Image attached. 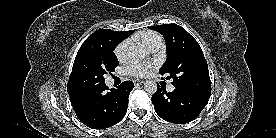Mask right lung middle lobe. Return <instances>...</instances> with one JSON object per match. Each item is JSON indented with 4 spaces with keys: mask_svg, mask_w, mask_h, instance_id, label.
Listing matches in <instances>:
<instances>
[{
    "mask_svg": "<svg viewBox=\"0 0 276 138\" xmlns=\"http://www.w3.org/2000/svg\"><path fill=\"white\" fill-rule=\"evenodd\" d=\"M117 44L105 38L82 45L76 55L68 81L69 92H84L105 82L104 75L113 72L119 62L113 50Z\"/></svg>",
    "mask_w": 276,
    "mask_h": 138,
    "instance_id": "1",
    "label": "right lung middle lobe"
}]
</instances>
